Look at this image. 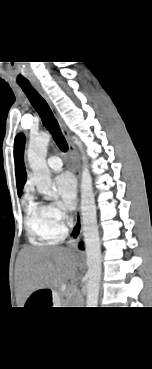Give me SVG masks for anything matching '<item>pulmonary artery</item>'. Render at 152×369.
<instances>
[{"label": "pulmonary artery", "instance_id": "pulmonary-artery-1", "mask_svg": "<svg viewBox=\"0 0 152 369\" xmlns=\"http://www.w3.org/2000/svg\"><path fill=\"white\" fill-rule=\"evenodd\" d=\"M47 165L50 169L58 171L62 168V160L58 156H51L47 160Z\"/></svg>", "mask_w": 152, "mask_h": 369}]
</instances>
